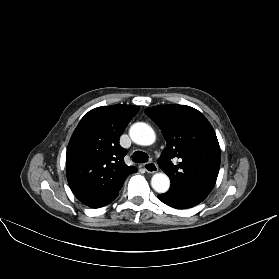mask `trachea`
Segmentation results:
<instances>
[{"instance_id":"3493384b","label":"trachea","mask_w":279,"mask_h":279,"mask_svg":"<svg viewBox=\"0 0 279 279\" xmlns=\"http://www.w3.org/2000/svg\"><path fill=\"white\" fill-rule=\"evenodd\" d=\"M132 160L135 163H145L148 161V155L144 152L137 151L132 155Z\"/></svg>"}]
</instances>
